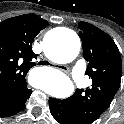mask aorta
Instances as JSON below:
<instances>
[{
  "label": "aorta",
  "mask_w": 124,
  "mask_h": 124,
  "mask_svg": "<svg viewBox=\"0 0 124 124\" xmlns=\"http://www.w3.org/2000/svg\"><path fill=\"white\" fill-rule=\"evenodd\" d=\"M44 46L49 59L69 63L79 54L80 39L73 30L61 28L45 38ZM50 74L51 77L34 78V87L43 89L47 94L57 98L69 97L74 92L72 81L64 73L53 70Z\"/></svg>",
  "instance_id": "obj_1"
}]
</instances>
